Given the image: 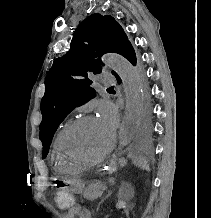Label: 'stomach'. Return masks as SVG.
Returning <instances> with one entry per match:
<instances>
[{
    "label": "stomach",
    "mask_w": 211,
    "mask_h": 218,
    "mask_svg": "<svg viewBox=\"0 0 211 218\" xmlns=\"http://www.w3.org/2000/svg\"><path fill=\"white\" fill-rule=\"evenodd\" d=\"M124 162L120 161V165ZM117 169V163L110 162L105 169L109 174L115 172ZM65 184L68 185L69 190L73 193H82L85 190V183L78 176H71L65 179Z\"/></svg>",
    "instance_id": "stomach-1"
}]
</instances>
